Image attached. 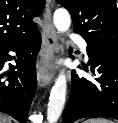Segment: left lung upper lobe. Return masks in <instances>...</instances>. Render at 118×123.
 <instances>
[{
  "label": "left lung upper lobe",
  "mask_w": 118,
  "mask_h": 123,
  "mask_svg": "<svg viewBox=\"0 0 118 123\" xmlns=\"http://www.w3.org/2000/svg\"><path fill=\"white\" fill-rule=\"evenodd\" d=\"M70 13L74 32L87 45L118 53V9L115 0H56Z\"/></svg>",
  "instance_id": "obj_1"
}]
</instances>
